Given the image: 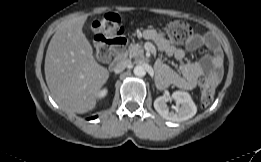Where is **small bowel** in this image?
Masks as SVG:
<instances>
[{
    "label": "small bowel",
    "instance_id": "small-bowel-1",
    "mask_svg": "<svg viewBox=\"0 0 261 162\" xmlns=\"http://www.w3.org/2000/svg\"><path fill=\"white\" fill-rule=\"evenodd\" d=\"M146 37L156 43L158 48L165 53L174 56L177 60L183 59L185 53L182 49L173 46L165 34L156 29L146 31ZM205 46L210 54L203 56L200 61L187 62L180 66V74L166 67L161 61H157V70L161 75L168 77L169 82L182 89L192 90L196 87L198 79L206 75L219 81L222 77L223 55L220 46L212 35L197 36L189 42L188 48L195 51Z\"/></svg>",
    "mask_w": 261,
    "mask_h": 162
}]
</instances>
